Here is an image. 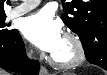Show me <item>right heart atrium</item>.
I'll return each mask as SVG.
<instances>
[{
    "label": "right heart atrium",
    "instance_id": "d8ad5b80",
    "mask_svg": "<svg viewBox=\"0 0 107 75\" xmlns=\"http://www.w3.org/2000/svg\"><path fill=\"white\" fill-rule=\"evenodd\" d=\"M27 51H28V53H31V52H32V50H31L30 47L27 48Z\"/></svg>",
    "mask_w": 107,
    "mask_h": 75
}]
</instances>
